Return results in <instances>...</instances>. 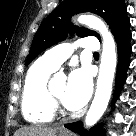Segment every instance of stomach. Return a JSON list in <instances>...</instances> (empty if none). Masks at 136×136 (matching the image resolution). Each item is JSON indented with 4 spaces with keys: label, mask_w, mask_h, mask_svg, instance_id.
<instances>
[{
    "label": "stomach",
    "mask_w": 136,
    "mask_h": 136,
    "mask_svg": "<svg viewBox=\"0 0 136 136\" xmlns=\"http://www.w3.org/2000/svg\"><path fill=\"white\" fill-rule=\"evenodd\" d=\"M57 136H70V135H68L67 133H64V132H60Z\"/></svg>",
    "instance_id": "0dacf381"
}]
</instances>
